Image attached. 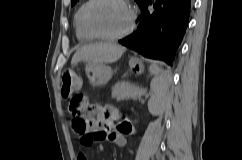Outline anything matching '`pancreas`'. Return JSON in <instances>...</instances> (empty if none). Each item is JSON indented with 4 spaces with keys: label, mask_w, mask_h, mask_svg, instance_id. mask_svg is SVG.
<instances>
[{
    "label": "pancreas",
    "mask_w": 242,
    "mask_h": 160,
    "mask_svg": "<svg viewBox=\"0 0 242 160\" xmlns=\"http://www.w3.org/2000/svg\"><path fill=\"white\" fill-rule=\"evenodd\" d=\"M143 93V89L129 82H118L112 87V98L117 101H123L129 98L137 99L140 98Z\"/></svg>",
    "instance_id": "pancreas-1"
}]
</instances>
